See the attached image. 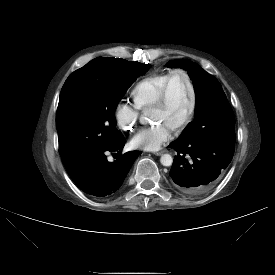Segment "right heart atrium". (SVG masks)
I'll use <instances>...</instances> for the list:
<instances>
[{
  "instance_id": "right-heart-atrium-1",
  "label": "right heart atrium",
  "mask_w": 275,
  "mask_h": 275,
  "mask_svg": "<svg viewBox=\"0 0 275 275\" xmlns=\"http://www.w3.org/2000/svg\"><path fill=\"white\" fill-rule=\"evenodd\" d=\"M139 108L124 101H119L114 109V118L119 128L133 131L139 120Z\"/></svg>"
}]
</instances>
